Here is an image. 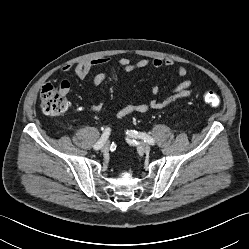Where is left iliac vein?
<instances>
[{"label":"left iliac vein","mask_w":249,"mask_h":249,"mask_svg":"<svg viewBox=\"0 0 249 249\" xmlns=\"http://www.w3.org/2000/svg\"><path fill=\"white\" fill-rule=\"evenodd\" d=\"M139 149L144 152V153H149L150 150H151V147L149 144L147 143H141L140 146H139Z\"/></svg>","instance_id":"4c4485c4"}]
</instances>
